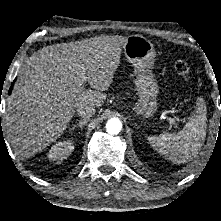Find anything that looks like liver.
<instances>
[{
	"label": "liver",
	"instance_id": "obj_1",
	"mask_svg": "<svg viewBox=\"0 0 221 221\" xmlns=\"http://www.w3.org/2000/svg\"><path fill=\"white\" fill-rule=\"evenodd\" d=\"M127 39L106 35L50 45L26 60L4 122L16 156L32 157L55 142L78 107L103 105Z\"/></svg>",
	"mask_w": 221,
	"mask_h": 221
}]
</instances>
